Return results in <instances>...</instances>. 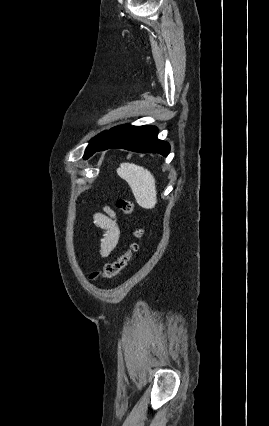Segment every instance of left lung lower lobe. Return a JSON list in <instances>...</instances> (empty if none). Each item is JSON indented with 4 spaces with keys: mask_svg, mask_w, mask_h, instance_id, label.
Instances as JSON below:
<instances>
[{
    "mask_svg": "<svg viewBox=\"0 0 269 426\" xmlns=\"http://www.w3.org/2000/svg\"><path fill=\"white\" fill-rule=\"evenodd\" d=\"M157 132V128L153 126H116L107 132L103 141L93 149L90 156L97 151L123 148L139 153H158L166 157L170 146L167 142L157 139Z\"/></svg>",
    "mask_w": 269,
    "mask_h": 426,
    "instance_id": "0a47b994",
    "label": "left lung lower lobe"
}]
</instances>
